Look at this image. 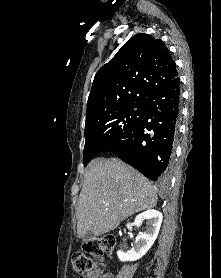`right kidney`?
Masks as SVG:
<instances>
[{"mask_svg": "<svg viewBox=\"0 0 221 278\" xmlns=\"http://www.w3.org/2000/svg\"><path fill=\"white\" fill-rule=\"evenodd\" d=\"M162 219V213L154 209L139 214L136 217L134 224L135 226L140 227L141 224L146 221V231L137 235L135 244L130 251L127 253H124L121 250L117 251V256L120 261H136L144 256L157 238Z\"/></svg>", "mask_w": 221, "mask_h": 278, "instance_id": "ca27d5eb", "label": "right kidney"}]
</instances>
